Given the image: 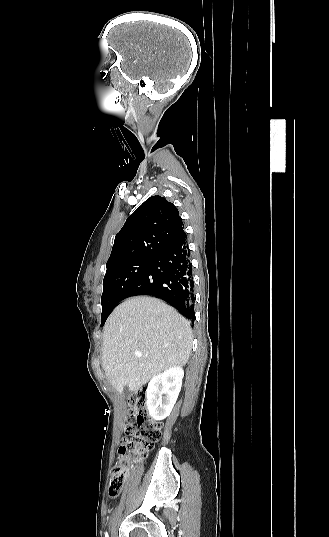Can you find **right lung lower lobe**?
<instances>
[{
  "label": "right lung lower lobe",
  "instance_id": "98d812e1",
  "mask_svg": "<svg viewBox=\"0 0 329 537\" xmlns=\"http://www.w3.org/2000/svg\"><path fill=\"white\" fill-rule=\"evenodd\" d=\"M136 295L163 299L184 317L194 318V282L186 234L151 261L124 298Z\"/></svg>",
  "mask_w": 329,
  "mask_h": 537
}]
</instances>
